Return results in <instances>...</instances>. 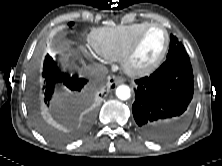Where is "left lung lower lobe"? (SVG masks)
Here are the masks:
<instances>
[{"mask_svg": "<svg viewBox=\"0 0 222 166\" xmlns=\"http://www.w3.org/2000/svg\"><path fill=\"white\" fill-rule=\"evenodd\" d=\"M136 84L132 112L143 136L168 141L187 128L194 93L190 59L166 60L153 74L136 80Z\"/></svg>", "mask_w": 222, "mask_h": 166, "instance_id": "0a47b994", "label": "left lung lower lobe"}]
</instances>
